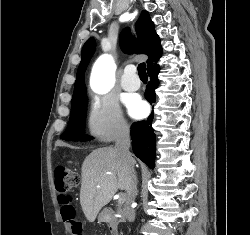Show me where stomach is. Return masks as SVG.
<instances>
[{
    "mask_svg": "<svg viewBox=\"0 0 250 235\" xmlns=\"http://www.w3.org/2000/svg\"><path fill=\"white\" fill-rule=\"evenodd\" d=\"M106 218H105V215L103 214V213H101L100 215H99V220L100 221H104Z\"/></svg>",
    "mask_w": 250,
    "mask_h": 235,
    "instance_id": "stomach-1",
    "label": "stomach"
}]
</instances>
